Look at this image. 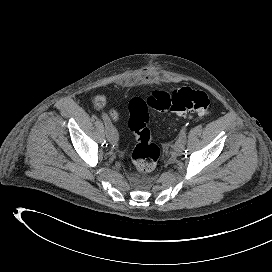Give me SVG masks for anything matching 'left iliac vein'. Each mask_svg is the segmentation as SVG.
Here are the masks:
<instances>
[{
    "label": "left iliac vein",
    "instance_id": "1",
    "mask_svg": "<svg viewBox=\"0 0 272 272\" xmlns=\"http://www.w3.org/2000/svg\"><path fill=\"white\" fill-rule=\"evenodd\" d=\"M184 150V147L182 145H180L179 143H177L175 146H174V152L176 155H181V153L183 152Z\"/></svg>",
    "mask_w": 272,
    "mask_h": 272
}]
</instances>
